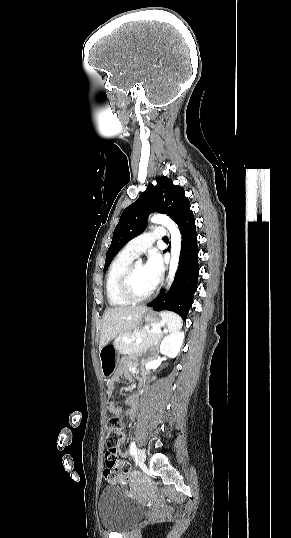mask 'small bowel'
Returning a JSON list of instances; mask_svg holds the SVG:
<instances>
[{
	"instance_id": "c3829d8e",
	"label": "small bowel",
	"mask_w": 291,
	"mask_h": 538,
	"mask_svg": "<svg viewBox=\"0 0 291 538\" xmlns=\"http://www.w3.org/2000/svg\"><path fill=\"white\" fill-rule=\"evenodd\" d=\"M121 374V370H118L116 374L107 382V394L109 397L113 396L114 390H115V383L119 378V375ZM142 387V385H141ZM125 403L127 404V409L123 410L121 407L117 406L113 401L109 402L108 408L110 412L114 415L120 416L122 414H127L128 416H135L138 410V404H139V394H131L129 395ZM124 443V437H122L119 440L118 447ZM120 457L126 458L128 456L127 452L120 451L118 449L117 453Z\"/></svg>"
}]
</instances>
